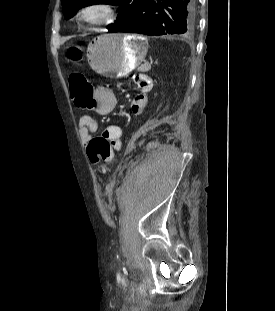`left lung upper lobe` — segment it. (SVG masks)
<instances>
[{
  "label": "left lung upper lobe",
  "instance_id": "1",
  "mask_svg": "<svg viewBox=\"0 0 275 311\" xmlns=\"http://www.w3.org/2000/svg\"><path fill=\"white\" fill-rule=\"evenodd\" d=\"M143 0H61L63 13L66 19L71 18L74 13L85 6L93 4L120 5L115 24H110L109 29H119L131 22L137 15Z\"/></svg>",
  "mask_w": 275,
  "mask_h": 311
}]
</instances>
